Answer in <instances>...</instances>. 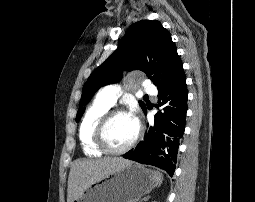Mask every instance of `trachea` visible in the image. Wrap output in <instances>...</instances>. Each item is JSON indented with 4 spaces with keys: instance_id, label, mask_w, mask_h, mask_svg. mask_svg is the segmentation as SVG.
<instances>
[{
    "instance_id": "obj_1",
    "label": "trachea",
    "mask_w": 255,
    "mask_h": 202,
    "mask_svg": "<svg viewBox=\"0 0 255 202\" xmlns=\"http://www.w3.org/2000/svg\"><path fill=\"white\" fill-rule=\"evenodd\" d=\"M144 97H145V98H148V95H145Z\"/></svg>"
}]
</instances>
